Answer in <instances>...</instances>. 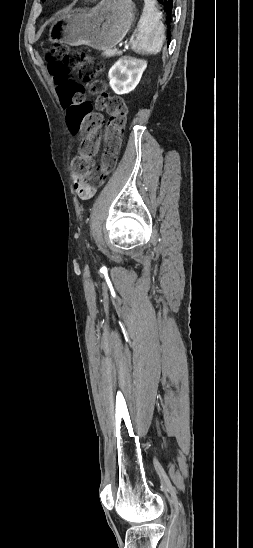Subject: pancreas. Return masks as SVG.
Masks as SVG:
<instances>
[{
  "label": "pancreas",
  "instance_id": "1",
  "mask_svg": "<svg viewBox=\"0 0 253 548\" xmlns=\"http://www.w3.org/2000/svg\"><path fill=\"white\" fill-rule=\"evenodd\" d=\"M104 55H105L106 57H113V56L116 55V52H115L114 50H108V51H105V52H104Z\"/></svg>",
  "mask_w": 253,
  "mask_h": 548
}]
</instances>
